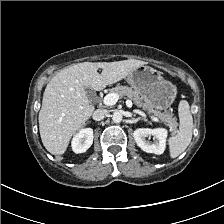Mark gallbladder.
Segmentation results:
<instances>
[{"instance_id":"obj_1","label":"gallbladder","mask_w":224,"mask_h":224,"mask_svg":"<svg viewBox=\"0 0 224 224\" xmlns=\"http://www.w3.org/2000/svg\"><path fill=\"white\" fill-rule=\"evenodd\" d=\"M85 90L89 98H91L94 95V91L91 88L87 87Z\"/></svg>"}]
</instances>
